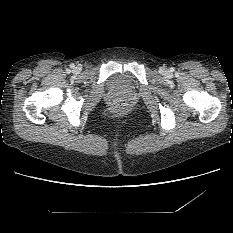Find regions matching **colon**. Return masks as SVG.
<instances>
[{"mask_svg": "<svg viewBox=\"0 0 233 233\" xmlns=\"http://www.w3.org/2000/svg\"><path fill=\"white\" fill-rule=\"evenodd\" d=\"M129 110V104L127 100L123 98H119L113 101L112 106H111V112L114 115H125Z\"/></svg>", "mask_w": 233, "mask_h": 233, "instance_id": "obj_1", "label": "colon"}]
</instances>
